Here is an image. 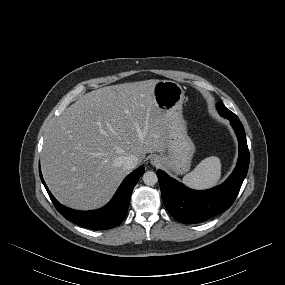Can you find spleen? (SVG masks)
<instances>
[{
	"label": "spleen",
	"mask_w": 285,
	"mask_h": 285,
	"mask_svg": "<svg viewBox=\"0 0 285 285\" xmlns=\"http://www.w3.org/2000/svg\"><path fill=\"white\" fill-rule=\"evenodd\" d=\"M221 177V162L211 156L202 160L193 171L183 177V182L190 188L207 189L215 186Z\"/></svg>",
	"instance_id": "spleen-1"
}]
</instances>
